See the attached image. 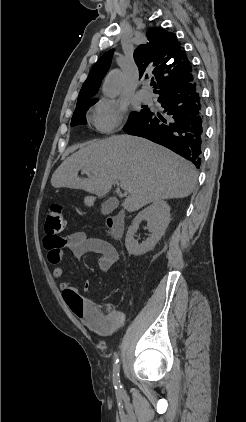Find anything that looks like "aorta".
Returning <instances> with one entry per match:
<instances>
[{
    "label": "aorta",
    "mask_w": 246,
    "mask_h": 422,
    "mask_svg": "<svg viewBox=\"0 0 246 422\" xmlns=\"http://www.w3.org/2000/svg\"><path fill=\"white\" fill-rule=\"evenodd\" d=\"M124 76L123 73L119 70L111 71L104 84H103V94L107 98L117 97L123 87Z\"/></svg>",
    "instance_id": "obj_1"
}]
</instances>
